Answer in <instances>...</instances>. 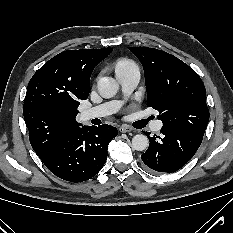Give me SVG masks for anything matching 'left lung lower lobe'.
Listing matches in <instances>:
<instances>
[{
  "label": "left lung lower lobe",
  "instance_id": "0a47b994",
  "mask_svg": "<svg viewBox=\"0 0 233 233\" xmlns=\"http://www.w3.org/2000/svg\"><path fill=\"white\" fill-rule=\"evenodd\" d=\"M147 136L150 134L146 133ZM149 148L142 161L155 172H175L183 167L198 150L203 137L189 131L162 126L161 135L148 136Z\"/></svg>",
  "mask_w": 233,
  "mask_h": 233
}]
</instances>
